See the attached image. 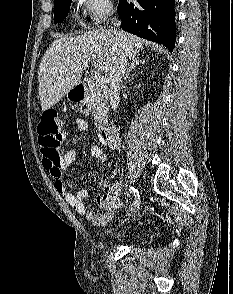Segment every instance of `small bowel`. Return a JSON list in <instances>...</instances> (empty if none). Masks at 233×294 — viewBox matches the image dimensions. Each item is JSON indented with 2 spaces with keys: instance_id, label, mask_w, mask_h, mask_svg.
I'll use <instances>...</instances> for the list:
<instances>
[{
  "instance_id": "small-bowel-1",
  "label": "small bowel",
  "mask_w": 233,
  "mask_h": 294,
  "mask_svg": "<svg viewBox=\"0 0 233 294\" xmlns=\"http://www.w3.org/2000/svg\"><path fill=\"white\" fill-rule=\"evenodd\" d=\"M87 128V123L82 119H77L76 130L84 131ZM74 130L67 129L63 131V138L69 137ZM59 156L47 157L44 155L42 160L43 168L48 172L50 178L53 180L54 188L58 193H60L65 201L81 216L85 217L90 223L95 226H104L112 219V212L106 207L105 203L108 200L119 201L117 194L119 192V186L117 184L109 185L107 180L100 178L98 180L99 189H109V194L100 195L97 197V204L101 208H105L108 211L93 214L89 212L85 206V199L88 196V192L85 189H79L75 193L69 192L63 181L62 172L67 170L77 158L76 149H59ZM92 155L104 161L106 159V154L104 153V148L102 146H95L92 149ZM120 202V201H119ZM121 203V202H120Z\"/></svg>"
}]
</instances>
